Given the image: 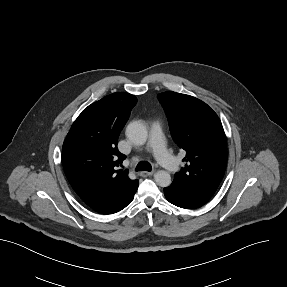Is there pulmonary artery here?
I'll return each instance as SVG.
<instances>
[{
  "mask_svg": "<svg viewBox=\"0 0 287 287\" xmlns=\"http://www.w3.org/2000/svg\"><path fill=\"white\" fill-rule=\"evenodd\" d=\"M148 147L153 151L157 161L169 172H175L178 170L179 163L176 158L171 156L166 150L164 141L162 126L158 121H155L151 125Z\"/></svg>",
  "mask_w": 287,
  "mask_h": 287,
  "instance_id": "e3ab8cb5",
  "label": "pulmonary artery"
}]
</instances>
